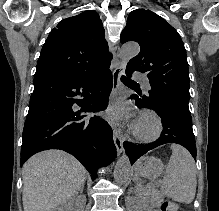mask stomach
<instances>
[{
  "instance_id": "1",
  "label": "stomach",
  "mask_w": 219,
  "mask_h": 211,
  "mask_svg": "<svg viewBox=\"0 0 219 211\" xmlns=\"http://www.w3.org/2000/svg\"><path fill=\"white\" fill-rule=\"evenodd\" d=\"M164 165L157 157L143 156L134 165V171L145 178L156 179L162 174Z\"/></svg>"
}]
</instances>
